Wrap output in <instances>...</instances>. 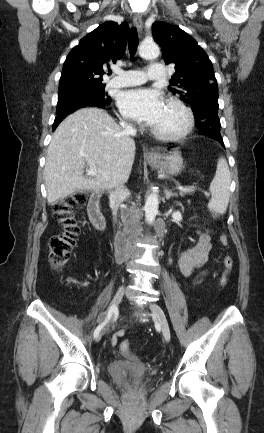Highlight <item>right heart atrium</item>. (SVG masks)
Listing matches in <instances>:
<instances>
[{"mask_svg":"<svg viewBox=\"0 0 264 433\" xmlns=\"http://www.w3.org/2000/svg\"><path fill=\"white\" fill-rule=\"evenodd\" d=\"M123 121H124L125 123H128V120H127L126 118H123Z\"/></svg>","mask_w":264,"mask_h":433,"instance_id":"d8ad5b80","label":"right heart atrium"}]
</instances>
